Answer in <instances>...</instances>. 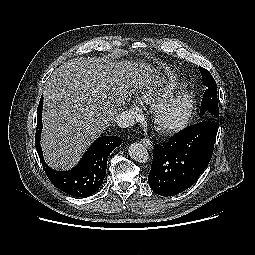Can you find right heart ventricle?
<instances>
[{
	"mask_svg": "<svg viewBox=\"0 0 255 255\" xmlns=\"http://www.w3.org/2000/svg\"><path fill=\"white\" fill-rule=\"evenodd\" d=\"M173 83L144 90L138 98L142 106L154 108L169 99L176 90Z\"/></svg>",
	"mask_w": 255,
	"mask_h": 255,
	"instance_id": "right-heart-ventricle-1",
	"label": "right heart ventricle"
}]
</instances>
